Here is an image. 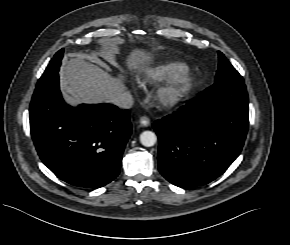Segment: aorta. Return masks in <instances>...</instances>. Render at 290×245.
Listing matches in <instances>:
<instances>
[{
  "label": "aorta",
  "mask_w": 290,
  "mask_h": 245,
  "mask_svg": "<svg viewBox=\"0 0 290 245\" xmlns=\"http://www.w3.org/2000/svg\"><path fill=\"white\" fill-rule=\"evenodd\" d=\"M140 142L145 147H152L157 142V136L152 131H143L140 134Z\"/></svg>",
  "instance_id": "obj_1"
}]
</instances>
